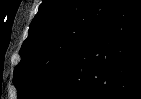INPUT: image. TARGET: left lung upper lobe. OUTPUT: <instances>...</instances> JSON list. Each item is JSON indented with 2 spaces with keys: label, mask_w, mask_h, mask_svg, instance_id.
I'll list each match as a JSON object with an SVG mask.
<instances>
[{
  "label": "left lung upper lobe",
  "mask_w": 141,
  "mask_h": 99,
  "mask_svg": "<svg viewBox=\"0 0 141 99\" xmlns=\"http://www.w3.org/2000/svg\"><path fill=\"white\" fill-rule=\"evenodd\" d=\"M121 0H43L14 69L18 99H36L67 71L75 55Z\"/></svg>",
  "instance_id": "obj_1"
}]
</instances>
